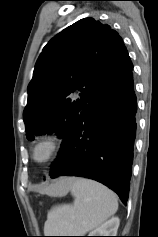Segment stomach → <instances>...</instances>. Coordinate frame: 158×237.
<instances>
[{
    "instance_id": "obj_1",
    "label": "stomach",
    "mask_w": 158,
    "mask_h": 237,
    "mask_svg": "<svg viewBox=\"0 0 158 237\" xmlns=\"http://www.w3.org/2000/svg\"><path fill=\"white\" fill-rule=\"evenodd\" d=\"M63 179H67V178H62L61 180H63ZM70 187H71V184H65V185L61 186L60 188H58L54 195L66 194L70 190Z\"/></svg>"
}]
</instances>
